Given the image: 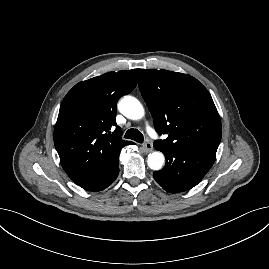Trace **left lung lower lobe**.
Listing matches in <instances>:
<instances>
[{"label": "left lung lower lobe", "instance_id": "0a47b994", "mask_svg": "<svg viewBox=\"0 0 269 269\" xmlns=\"http://www.w3.org/2000/svg\"><path fill=\"white\" fill-rule=\"evenodd\" d=\"M164 153L166 165L153 173L164 190L178 193L196 186L212 167L216 152L193 147L154 146Z\"/></svg>", "mask_w": 269, "mask_h": 269}]
</instances>
